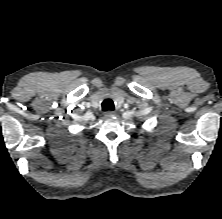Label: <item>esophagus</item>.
<instances>
[{"mask_svg":"<svg viewBox=\"0 0 222 219\" xmlns=\"http://www.w3.org/2000/svg\"><path fill=\"white\" fill-rule=\"evenodd\" d=\"M115 115V112L114 111H106L104 116L106 118H109V117H113Z\"/></svg>","mask_w":222,"mask_h":219,"instance_id":"1","label":"esophagus"}]
</instances>
